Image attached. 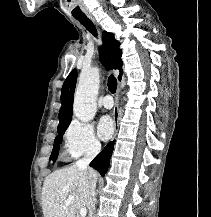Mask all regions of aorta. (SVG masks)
<instances>
[{
    "label": "aorta",
    "mask_w": 211,
    "mask_h": 217,
    "mask_svg": "<svg viewBox=\"0 0 211 217\" xmlns=\"http://www.w3.org/2000/svg\"><path fill=\"white\" fill-rule=\"evenodd\" d=\"M100 74L97 67L82 70L75 92L73 112L82 122L91 121L97 110Z\"/></svg>",
    "instance_id": "762f6f07"
}]
</instances>
